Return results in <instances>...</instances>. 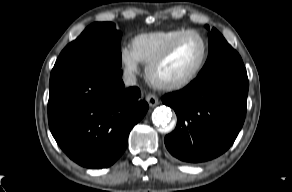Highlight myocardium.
Listing matches in <instances>:
<instances>
[{
    "instance_id": "obj_1",
    "label": "myocardium",
    "mask_w": 292,
    "mask_h": 192,
    "mask_svg": "<svg viewBox=\"0 0 292 192\" xmlns=\"http://www.w3.org/2000/svg\"><path fill=\"white\" fill-rule=\"evenodd\" d=\"M189 35H195L199 37L203 44V54L196 68L189 75L179 80L170 81V82H163V81L158 80L155 77L156 69L173 53L177 45L185 37ZM208 57H209V43L207 39L205 38V36L197 30H186L185 32L175 37L151 62L147 64L146 78L154 87L161 90L173 91V90L182 89L190 85L192 82H194L198 78V76L201 74V72L206 66Z\"/></svg>"
}]
</instances>
